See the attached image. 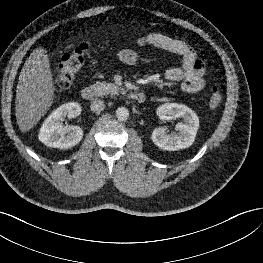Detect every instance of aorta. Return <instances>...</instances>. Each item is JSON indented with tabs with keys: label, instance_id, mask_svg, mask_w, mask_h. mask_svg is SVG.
Masks as SVG:
<instances>
[{
	"label": "aorta",
	"instance_id": "aorta-1",
	"mask_svg": "<svg viewBox=\"0 0 263 263\" xmlns=\"http://www.w3.org/2000/svg\"><path fill=\"white\" fill-rule=\"evenodd\" d=\"M116 117L118 118V120L120 121H126L129 117V111L127 108L125 107H119L116 110Z\"/></svg>",
	"mask_w": 263,
	"mask_h": 263
}]
</instances>
